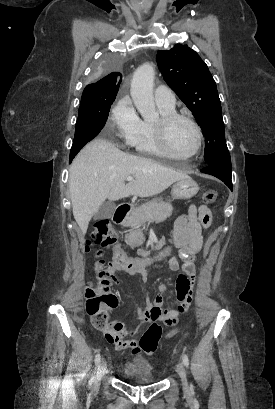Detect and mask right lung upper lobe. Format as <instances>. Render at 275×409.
Segmentation results:
<instances>
[{"label": "right lung upper lobe", "instance_id": "cb5924a9", "mask_svg": "<svg viewBox=\"0 0 275 409\" xmlns=\"http://www.w3.org/2000/svg\"><path fill=\"white\" fill-rule=\"evenodd\" d=\"M120 73H110L96 83L85 87L82 98L87 100H111L115 99L119 89Z\"/></svg>", "mask_w": 275, "mask_h": 409}]
</instances>
